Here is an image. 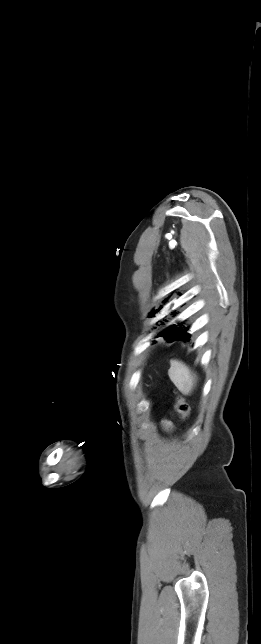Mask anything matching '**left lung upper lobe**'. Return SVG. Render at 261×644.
Masks as SVG:
<instances>
[{
	"instance_id": "5c2ea615",
	"label": "left lung upper lobe",
	"mask_w": 261,
	"mask_h": 644,
	"mask_svg": "<svg viewBox=\"0 0 261 644\" xmlns=\"http://www.w3.org/2000/svg\"><path fill=\"white\" fill-rule=\"evenodd\" d=\"M154 313H155V312H152V313L150 314V316H153V314H154ZM181 324H182V323H179L178 325H181ZM180 328H181V327H177L176 325H173V326L169 327L168 329H166V330L162 331V332H161V334H160L159 336H164V337H165V336H167L169 333H171V332H173V331H176V330H178V329H180Z\"/></svg>"
}]
</instances>
